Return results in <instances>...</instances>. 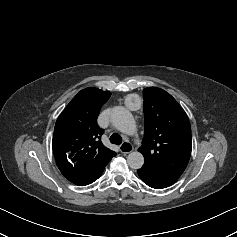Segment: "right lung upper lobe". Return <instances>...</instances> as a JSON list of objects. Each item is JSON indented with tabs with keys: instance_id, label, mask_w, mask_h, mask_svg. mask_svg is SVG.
<instances>
[{
	"instance_id": "cb5924a9",
	"label": "right lung upper lobe",
	"mask_w": 237,
	"mask_h": 237,
	"mask_svg": "<svg viewBox=\"0 0 237 237\" xmlns=\"http://www.w3.org/2000/svg\"><path fill=\"white\" fill-rule=\"evenodd\" d=\"M111 93L94 87L81 90L56 121L53 152L57 164L76 175H96L116 155L100 141L96 124L100 108Z\"/></svg>"
}]
</instances>
